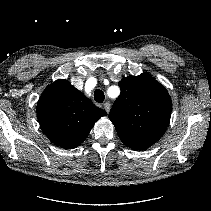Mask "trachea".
<instances>
[{"instance_id": "1", "label": "trachea", "mask_w": 211, "mask_h": 211, "mask_svg": "<svg viewBox=\"0 0 211 211\" xmlns=\"http://www.w3.org/2000/svg\"><path fill=\"white\" fill-rule=\"evenodd\" d=\"M94 99L96 102L98 103H103L104 99H105V95H104V92L100 89H97L95 92H94Z\"/></svg>"}]
</instances>
